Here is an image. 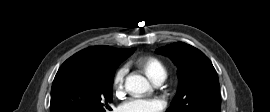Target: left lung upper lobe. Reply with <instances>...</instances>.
Returning a JSON list of instances; mask_svg holds the SVG:
<instances>
[{
	"mask_svg": "<svg viewBox=\"0 0 270 112\" xmlns=\"http://www.w3.org/2000/svg\"><path fill=\"white\" fill-rule=\"evenodd\" d=\"M178 67L177 94L166 112H220L219 79L209 58L183 42L160 47Z\"/></svg>",
	"mask_w": 270,
	"mask_h": 112,
	"instance_id": "1",
	"label": "left lung upper lobe"
}]
</instances>
